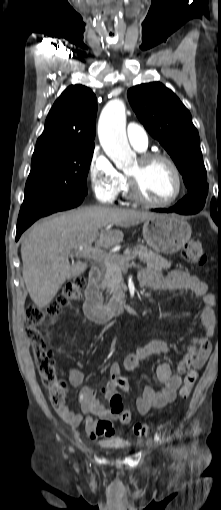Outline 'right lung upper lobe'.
<instances>
[{
	"instance_id": "right-lung-upper-lobe-1",
	"label": "right lung upper lobe",
	"mask_w": 221,
	"mask_h": 510,
	"mask_svg": "<svg viewBox=\"0 0 221 510\" xmlns=\"http://www.w3.org/2000/svg\"><path fill=\"white\" fill-rule=\"evenodd\" d=\"M97 100L83 85L69 86L51 108L32 157L94 146Z\"/></svg>"
}]
</instances>
